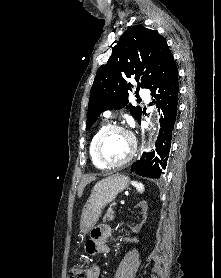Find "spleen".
<instances>
[{
	"instance_id": "3e777b00",
	"label": "spleen",
	"mask_w": 221,
	"mask_h": 278,
	"mask_svg": "<svg viewBox=\"0 0 221 278\" xmlns=\"http://www.w3.org/2000/svg\"><path fill=\"white\" fill-rule=\"evenodd\" d=\"M131 183H132V185H133L134 187H136V189H137L140 193H143V191H144V185H143L142 183H138V182H136V181H132Z\"/></svg>"
}]
</instances>
